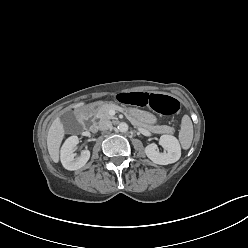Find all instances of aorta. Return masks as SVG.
<instances>
[{"mask_svg":"<svg viewBox=\"0 0 248 248\" xmlns=\"http://www.w3.org/2000/svg\"><path fill=\"white\" fill-rule=\"evenodd\" d=\"M118 130H119L120 132H126V131H128V124L125 123V122L119 123V125H118Z\"/></svg>","mask_w":248,"mask_h":248,"instance_id":"1","label":"aorta"}]
</instances>
